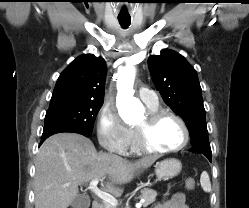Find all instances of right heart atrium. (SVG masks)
I'll return each mask as SVG.
<instances>
[{
  "label": "right heart atrium",
  "mask_w": 249,
  "mask_h": 208,
  "mask_svg": "<svg viewBox=\"0 0 249 208\" xmlns=\"http://www.w3.org/2000/svg\"><path fill=\"white\" fill-rule=\"evenodd\" d=\"M97 137L109 151L126 155L130 146V129L123 123L115 108L104 104L97 117Z\"/></svg>",
  "instance_id": "right-heart-atrium-1"
}]
</instances>
